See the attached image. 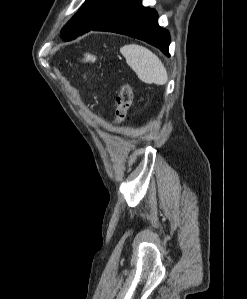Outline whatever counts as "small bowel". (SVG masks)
<instances>
[{
  "mask_svg": "<svg viewBox=\"0 0 247 299\" xmlns=\"http://www.w3.org/2000/svg\"><path fill=\"white\" fill-rule=\"evenodd\" d=\"M85 60H86L87 62H92V61L95 60V56H94V55L87 54V55L85 56Z\"/></svg>",
  "mask_w": 247,
  "mask_h": 299,
  "instance_id": "c3829d8e",
  "label": "small bowel"
}]
</instances>
